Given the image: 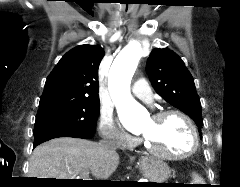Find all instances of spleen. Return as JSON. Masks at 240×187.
Here are the masks:
<instances>
[{"label":"spleen","instance_id":"1","mask_svg":"<svg viewBox=\"0 0 240 187\" xmlns=\"http://www.w3.org/2000/svg\"><path fill=\"white\" fill-rule=\"evenodd\" d=\"M193 181L197 184H203V181L201 180V178L197 175V174H193Z\"/></svg>","mask_w":240,"mask_h":187}]
</instances>
